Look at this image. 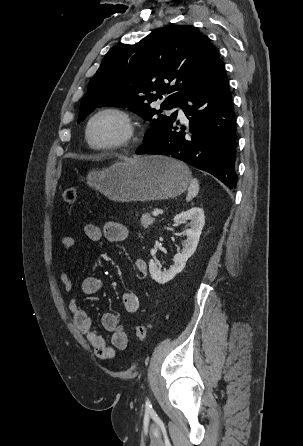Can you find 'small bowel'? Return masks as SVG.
I'll use <instances>...</instances> for the list:
<instances>
[{
    "label": "small bowel",
    "instance_id": "c3829d8e",
    "mask_svg": "<svg viewBox=\"0 0 303 446\" xmlns=\"http://www.w3.org/2000/svg\"><path fill=\"white\" fill-rule=\"evenodd\" d=\"M84 234L91 242H99L102 238H105L109 242L120 243L128 238L130 231L126 225L120 222L107 221L102 228L94 224H86L84 226ZM74 244L75 240L71 236H65L60 241V246L64 250H70ZM134 266L141 277L147 275L148 267L144 259H136ZM60 280L66 291L72 290L73 284L67 272H61ZM101 286V280L96 275L86 276L81 282V290L86 295L97 293L101 289ZM122 304L128 313H135L140 307L137 294L131 290L122 294ZM69 310L73 316L75 326L86 336L88 343L99 358L113 360L117 350H124L127 347L128 336L116 314L106 312L101 317L102 327L111 333L110 344H107L105 339L92 327L90 317L80 307L76 299L70 300Z\"/></svg>",
    "mask_w": 303,
    "mask_h": 446
}]
</instances>
